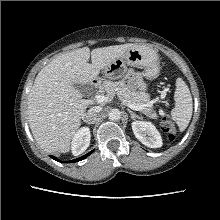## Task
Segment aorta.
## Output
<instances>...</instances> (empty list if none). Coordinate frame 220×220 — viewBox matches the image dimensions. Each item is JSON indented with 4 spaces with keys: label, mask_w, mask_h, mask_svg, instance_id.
Segmentation results:
<instances>
[{
    "label": "aorta",
    "mask_w": 220,
    "mask_h": 220,
    "mask_svg": "<svg viewBox=\"0 0 220 220\" xmlns=\"http://www.w3.org/2000/svg\"><path fill=\"white\" fill-rule=\"evenodd\" d=\"M121 117V112L119 109H112L109 114H108V118L112 121H117L119 120Z\"/></svg>",
    "instance_id": "obj_1"
}]
</instances>
